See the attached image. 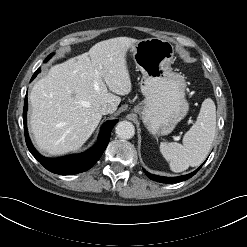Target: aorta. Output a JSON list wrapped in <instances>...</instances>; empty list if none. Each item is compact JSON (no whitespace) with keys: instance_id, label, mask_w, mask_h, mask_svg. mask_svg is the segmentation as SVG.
Segmentation results:
<instances>
[{"instance_id":"aorta-1","label":"aorta","mask_w":247,"mask_h":247,"mask_svg":"<svg viewBox=\"0 0 247 247\" xmlns=\"http://www.w3.org/2000/svg\"><path fill=\"white\" fill-rule=\"evenodd\" d=\"M116 134L121 139H131L135 134V127L129 121H120L116 126Z\"/></svg>"}]
</instances>
